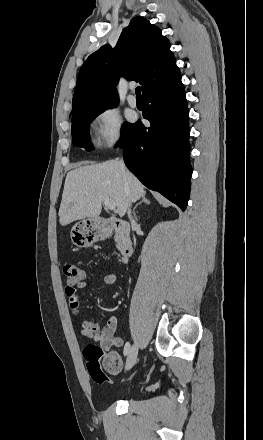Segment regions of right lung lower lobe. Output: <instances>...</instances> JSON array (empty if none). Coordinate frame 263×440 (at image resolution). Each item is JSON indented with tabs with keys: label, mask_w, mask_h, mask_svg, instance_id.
<instances>
[{
	"label": "right lung lower lobe",
	"mask_w": 263,
	"mask_h": 440,
	"mask_svg": "<svg viewBox=\"0 0 263 440\" xmlns=\"http://www.w3.org/2000/svg\"><path fill=\"white\" fill-rule=\"evenodd\" d=\"M141 122L131 124L121 137L127 168L149 189L186 209L192 168L186 94L179 70L144 94Z\"/></svg>",
	"instance_id": "right-lung-lower-lobe-1"
}]
</instances>
